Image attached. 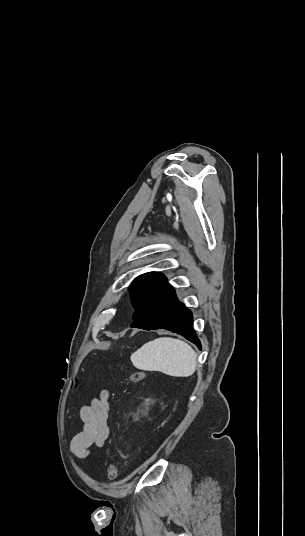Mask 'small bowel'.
Segmentation results:
<instances>
[{"label": "small bowel", "instance_id": "c3829d8e", "mask_svg": "<svg viewBox=\"0 0 305 536\" xmlns=\"http://www.w3.org/2000/svg\"><path fill=\"white\" fill-rule=\"evenodd\" d=\"M107 392H102L99 398L92 400L90 405L83 406L80 417L82 430L75 435L71 448L74 454L84 458L89 455L92 446L101 447L109 436V405Z\"/></svg>", "mask_w": 305, "mask_h": 536}]
</instances>
